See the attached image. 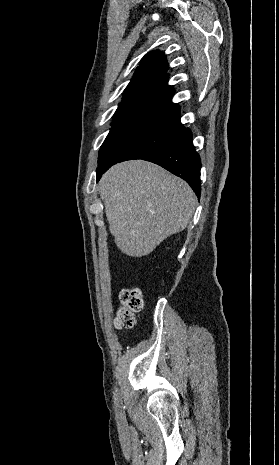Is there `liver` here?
I'll return each instance as SVG.
<instances>
[{
	"label": "liver",
	"mask_w": 279,
	"mask_h": 465,
	"mask_svg": "<svg viewBox=\"0 0 279 465\" xmlns=\"http://www.w3.org/2000/svg\"><path fill=\"white\" fill-rule=\"evenodd\" d=\"M98 189L115 243L132 257L148 255L184 230L196 205L195 194L184 180L143 160L112 166Z\"/></svg>",
	"instance_id": "obj_1"
}]
</instances>
